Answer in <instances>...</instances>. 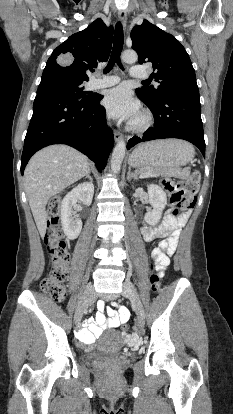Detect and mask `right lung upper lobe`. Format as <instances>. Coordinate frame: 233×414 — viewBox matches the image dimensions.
I'll return each mask as SVG.
<instances>
[{
	"mask_svg": "<svg viewBox=\"0 0 233 414\" xmlns=\"http://www.w3.org/2000/svg\"><path fill=\"white\" fill-rule=\"evenodd\" d=\"M113 28L101 19L71 35L49 57L42 77L57 76L88 81L87 71L105 62L111 51Z\"/></svg>",
	"mask_w": 233,
	"mask_h": 414,
	"instance_id": "1",
	"label": "right lung upper lobe"
}]
</instances>
